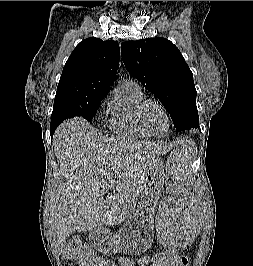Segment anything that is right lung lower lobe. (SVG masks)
Returning a JSON list of instances; mask_svg holds the SVG:
<instances>
[{
  "instance_id": "1",
  "label": "right lung lower lobe",
  "mask_w": 253,
  "mask_h": 266,
  "mask_svg": "<svg viewBox=\"0 0 253 266\" xmlns=\"http://www.w3.org/2000/svg\"><path fill=\"white\" fill-rule=\"evenodd\" d=\"M59 124H51L50 125V134H51V138L53 137V134L55 132V129L57 128Z\"/></svg>"
}]
</instances>
